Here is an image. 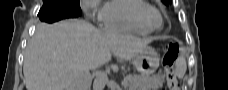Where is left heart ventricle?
<instances>
[{"instance_id": "obj_1", "label": "left heart ventricle", "mask_w": 228, "mask_h": 90, "mask_svg": "<svg viewBox=\"0 0 228 90\" xmlns=\"http://www.w3.org/2000/svg\"><path fill=\"white\" fill-rule=\"evenodd\" d=\"M152 23L154 24V25H158L159 24V20L156 18V16H152Z\"/></svg>"}]
</instances>
